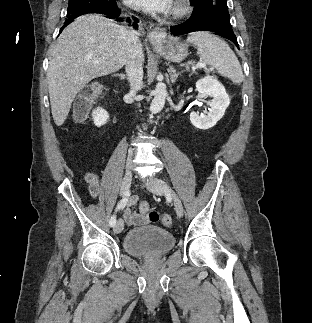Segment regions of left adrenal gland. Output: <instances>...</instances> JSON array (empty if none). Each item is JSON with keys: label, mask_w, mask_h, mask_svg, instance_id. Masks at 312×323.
<instances>
[{"label": "left adrenal gland", "mask_w": 312, "mask_h": 323, "mask_svg": "<svg viewBox=\"0 0 312 323\" xmlns=\"http://www.w3.org/2000/svg\"><path fill=\"white\" fill-rule=\"evenodd\" d=\"M169 72H170V80L172 84H175L179 74H176V70H174L173 66H169Z\"/></svg>", "instance_id": "a2214340"}]
</instances>
